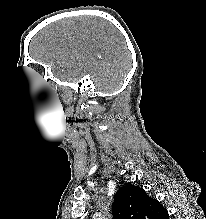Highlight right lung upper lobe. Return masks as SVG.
Segmentation results:
<instances>
[{
	"instance_id": "obj_1",
	"label": "right lung upper lobe",
	"mask_w": 206,
	"mask_h": 219,
	"mask_svg": "<svg viewBox=\"0 0 206 219\" xmlns=\"http://www.w3.org/2000/svg\"><path fill=\"white\" fill-rule=\"evenodd\" d=\"M113 219H169L168 212L145 190L128 184L114 195Z\"/></svg>"
}]
</instances>
